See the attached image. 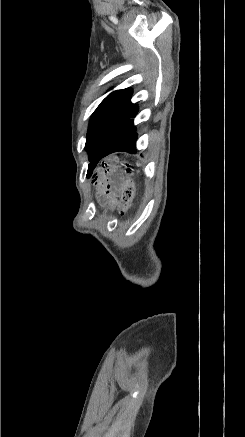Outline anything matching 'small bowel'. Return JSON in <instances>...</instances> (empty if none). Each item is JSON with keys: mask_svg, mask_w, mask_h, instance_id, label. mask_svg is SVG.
I'll list each match as a JSON object with an SVG mask.
<instances>
[{"mask_svg": "<svg viewBox=\"0 0 245 437\" xmlns=\"http://www.w3.org/2000/svg\"><path fill=\"white\" fill-rule=\"evenodd\" d=\"M110 168V165L108 162H101L100 165L95 169V171H92L90 174V177L92 180H105L106 174ZM116 187H113V190H115Z\"/></svg>", "mask_w": 245, "mask_h": 437, "instance_id": "c3829d8e", "label": "small bowel"}]
</instances>
